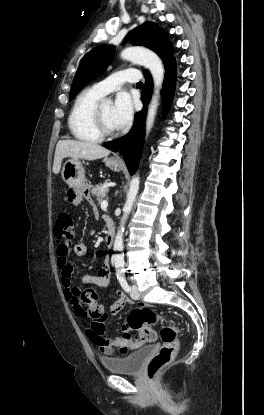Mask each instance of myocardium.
<instances>
[{
    "instance_id": "f54148a6",
    "label": "myocardium",
    "mask_w": 264,
    "mask_h": 415,
    "mask_svg": "<svg viewBox=\"0 0 264 415\" xmlns=\"http://www.w3.org/2000/svg\"><path fill=\"white\" fill-rule=\"evenodd\" d=\"M92 122L96 133L102 138H114L119 135V131L110 132L104 123L100 106L97 104L92 112Z\"/></svg>"
}]
</instances>
